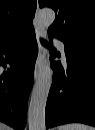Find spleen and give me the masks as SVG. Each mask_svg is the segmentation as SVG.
I'll return each instance as SVG.
<instances>
[{
	"label": "spleen",
	"instance_id": "3e777b00",
	"mask_svg": "<svg viewBox=\"0 0 95 130\" xmlns=\"http://www.w3.org/2000/svg\"><path fill=\"white\" fill-rule=\"evenodd\" d=\"M58 130H94V128L81 123H71L60 126Z\"/></svg>",
	"mask_w": 95,
	"mask_h": 130
}]
</instances>
